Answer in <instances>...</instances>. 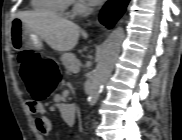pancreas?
<instances>
[{"label":"pancreas","instance_id":"1","mask_svg":"<svg viewBox=\"0 0 182 140\" xmlns=\"http://www.w3.org/2000/svg\"><path fill=\"white\" fill-rule=\"evenodd\" d=\"M61 61L68 72L74 71L77 68L78 60L72 53H66L62 56Z\"/></svg>","mask_w":182,"mask_h":140}]
</instances>
